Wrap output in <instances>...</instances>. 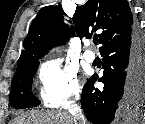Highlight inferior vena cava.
<instances>
[{"instance_id":"inferior-vena-cava-1","label":"inferior vena cava","mask_w":145,"mask_h":124,"mask_svg":"<svg viewBox=\"0 0 145 124\" xmlns=\"http://www.w3.org/2000/svg\"><path fill=\"white\" fill-rule=\"evenodd\" d=\"M72 118L75 124H85L84 117L81 111H75L72 113Z\"/></svg>"}]
</instances>
